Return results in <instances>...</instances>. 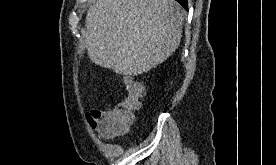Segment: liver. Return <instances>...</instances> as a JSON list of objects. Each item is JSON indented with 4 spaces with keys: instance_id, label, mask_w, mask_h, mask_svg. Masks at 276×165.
<instances>
[{
    "instance_id": "liver-1",
    "label": "liver",
    "mask_w": 276,
    "mask_h": 165,
    "mask_svg": "<svg viewBox=\"0 0 276 165\" xmlns=\"http://www.w3.org/2000/svg\"><path fill=\"white\" fill-rule=\"evenodd\" d=\"M185 11L174 0H96L82 33L90 60L121 75H139L178 48Z\"/></svg>"
}]
</instances>
